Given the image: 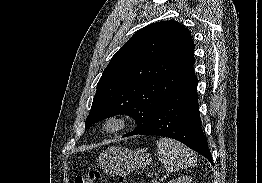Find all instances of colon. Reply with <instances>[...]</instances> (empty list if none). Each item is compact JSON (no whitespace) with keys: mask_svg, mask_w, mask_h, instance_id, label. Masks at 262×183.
<instances>
[{"mask_svg":"<svg viewBox=\"0 0 262 183\" xmlns=\"http://www.w3.org/2000/svg\"><path fill=\"white\" fill-rule=\"evenodd\" d=\"M101 178V173L99 171H87L79 174L75 178V183H95ZM120 183H123V179L120 178Z\"/></svg>","mask_w":262,"mask_h":183,"instance_id":"5ec220e1","label":"colon"}]
</instances>
